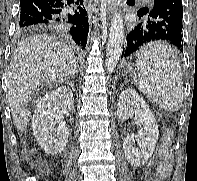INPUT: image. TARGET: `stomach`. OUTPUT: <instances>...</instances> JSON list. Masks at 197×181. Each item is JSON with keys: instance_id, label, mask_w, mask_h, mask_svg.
<instances>
[{"instance_id": "0dacf381", "label": "stomach", "mask_w": 197, "mask_h": 181, "mask_svg": "<svg viewBox=\"0 0 197 181\" xmlns=\"http://www.w3.org/2000/svg\"><path fill=\"white\" fill-rule=\"evenodd\" d=\"M139 70L136 64H127L125 67L126 73H136Z\"/></svg>"}]
</instances>
